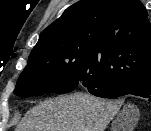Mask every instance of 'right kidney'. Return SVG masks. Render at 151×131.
Returning a JSON list of instances; mask_svg holds the SVG:
<instances>
[{"label":"right kidney","instance_id":"obj_1","mask_svg":"<svg viewBox=\"0 0 151 131\" xmlns=\"http://www.w3.org/2000/svg\"><path fill=\"white\" fill-rule=\"evenodd\" d=\"M122 126H123V123L121 120L115 121L114 125H113V131H117L119 128H122ZM130 128H132V127H130Z\"/></svg>","mask_w":151,"mask_h":131}]
</instances>
